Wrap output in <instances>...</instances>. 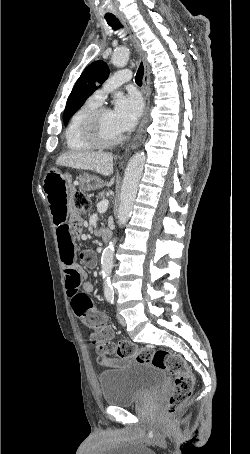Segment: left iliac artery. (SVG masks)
Segmentation results:
<instances>
[{"label": "left iliac artery", "instance_id": "left-iliac-artery-1", "mask_svg": "<svg viewBox=\"0 0 250 454\" xmlns=\"http://www.w3.org/2000/svg\"><path fill=\"white\" fill-rule=\"evenodd\" d=\"M108 301H109V302H110L111 304H113V303H114V297H112V298H111V297H110V298H108Z\"/></svg>", "mask_w": 250, "mask_h": 454}]
</instances>
